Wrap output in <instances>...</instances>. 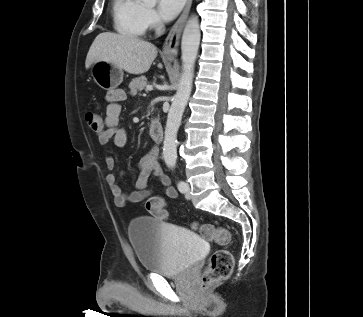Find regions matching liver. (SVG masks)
<instances>
[{
  "label": "liver",
  "instance_id": "6515ba94",
  "mask_svg": "<svg viewBox=\"0 0 363 317\" xmlns=\"http://www.w3.org/2000/svg\"><path fill=\"white\" fill-rule=\"evenodd\" d=\"M157 53L155 45L138 37L103 32L93 41L85 67L88 69L95 62L106 61L138 75L150 69Z\"/></svg>",
  "mask_w": 363,
  "mask_h": 317
}]
</instances>
